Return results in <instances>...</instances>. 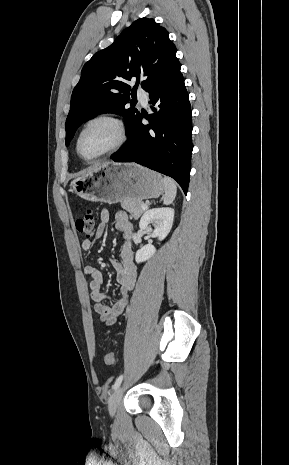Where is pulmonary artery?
Returning a JSON list of instances; mask_svg holds the SVG:
<instances>
[{"label":"pulmonary artery","mask_w":289,"mask_h":465,"mask_svg":"<svg viewBox=\"0 0 289 465\" xmlns=\"http://www.w3.org/2000/svg\"><path fill=\"white\" fill-rule=\"evenodd\" d=\"M137 94L142 104L146 105L148 102L147 93L143 89L139 88Z\"/></svg>","instance_id":"e3ab8cb5"}]
</instances>
